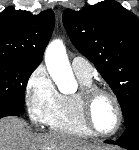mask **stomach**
Masks as SVG:
<instances>
[{
    "instance_id": "1",
    "label": "stomach",
    "mask_w": 139,
    "mask_h": 150,
    "mask_svg": "<svg viewBox=\"0 0 139 150\" xmlns=\"http://www.w3.org/2000/svg\"><path fill=\"white\" fill-rule=\"evenodd\" d=\"M98 150H108V149H103V148H100V149H98Z\"/></svg>"
}]
</instances>
